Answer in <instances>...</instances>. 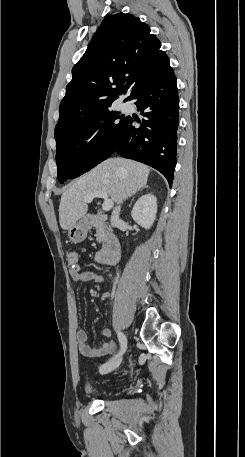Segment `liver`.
Listing matches in <instances>:
<instances>
[{"label": "liver", "mask_w": 245, "mask_h": 457, "mask_svg": "<svg viewBox=\"0 0 245 457\" xmlns=\"http://www.w3.org/2000/svg\"><path fill=\"white\" fill-rule=\"evenodd\" d=\"M149 172L150 168L146 164L129 158L117 156L100 162L64 190L59 204L61 229L68 231L76 224V220L86 214L88 204L84 198L93 190H104L111 196V200L123 202L141 186H145Z\"/></svg>", "instance_id": "liver-1"}]
</instances>
